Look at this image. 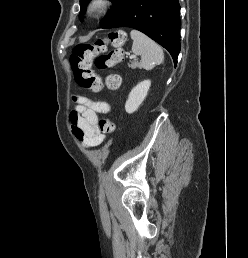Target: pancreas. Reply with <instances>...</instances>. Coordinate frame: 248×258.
Listing matches in <instances>:
<instances>
[{"label": "pancreas", "mask_w": 248, "mask_h": 258, "mask_svg": "<svg viewBox=\"0 0 248 258\" xmlns=\"http://www.w3.org/2000/svg\"><path fill=\"white\" fill-rule=\"evenodd\" d=\"M139 66V63L138 62H132L130 65H129V68L131 69H135Z\"/></svg>", "instance_id": "pancreas-1"}]
</instances>
